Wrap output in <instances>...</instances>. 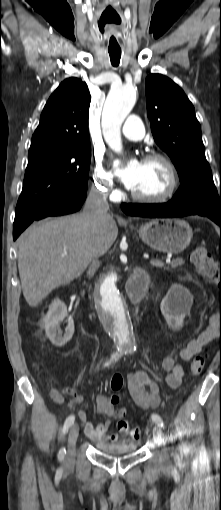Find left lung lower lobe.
I'll list each match as a JSON object with an SVG mask.
<instances>
[{"label": "left lung lower lobe", "mask_w": 221, "mask_h": 510, "mask_svg": "<svg viewBox=\"0 0 221 510\" xmlns=\"http://www.w3.org/2000/svg\"><path fill=\"white\" fill-rule=\"evenodd\" d=\"M122 210L132 216L142 217H183L187 215L206 216L221 227V208L180 207L170 202L163 204H121Z\"/></svg>", "instance_id": "obj_1"}]
</instances>
